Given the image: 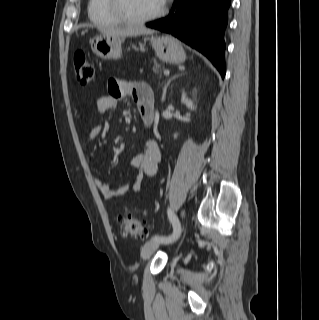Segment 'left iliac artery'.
Wrapping results in <instances>:
<instances>
[{"label": "left iliac artery", "instance_id": "obj_1", "mask_svg": "<svg viewBox=\"0 0 319 320\" xmlns=\"http://www.w3.org/2000/svg\"><path fill=\"white\" fill-rule=\"evenodd\" d=\"M168 218L173 226V233L169 236H159L155 235L152 240L158 241L163 244H169L175 242L181 235V225L177 216L173 213L171 209H168Z\"/></svg>", "mask_w": 319, "mask_h": 320}]
</instances>
